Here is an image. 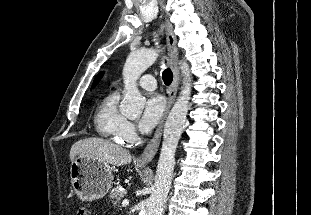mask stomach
I'll return each instance as SVG.
<instances>
[{"instance_id": "obj_1", "label": "stomach", "mask_w": 311, "mask_h": 215, "mask_svg": "<svg viewBox=\"0 0 311 215\" xmlns=\"http://www.w3.org/2000/svg\"><path fill=\"white\" fill-rule=\"evenodd\" d=\"M70 177L72 187L82 201H93L105 196L113 179L109 164L80 156L71 163Z\"/></svg>"}]
</instances>
